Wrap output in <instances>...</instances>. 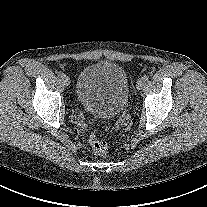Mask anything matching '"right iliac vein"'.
<instances>
[{
	"label": "right iliac vein",
	"mask_w": 207,
	"mask_h": 207,
	"mask_svg": "<svg viewBox=\"0 0 207 207\" xmlns=\"http://www.w3.org/2000/svg\"><path fill=\"white\" fill-rule=\"evenodd\" d=\"M61 80H62V83L65 86H69L70 85V78L68 76L64 75L63 77H61Z\"/></svg>",
	"instance_id": "63e3f726"
}]
</instances>
